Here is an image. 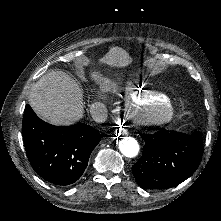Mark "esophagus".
I'll return each mask as SVG.
<instances>
[{
	"label": "esophagus",
	"instance_id": "esophagus-1",
	"mask_svg": "<svg viewBox=\"0 0 221 221\" xmlns=\"http://www.w3.org/2000/svg\"><path fill=\"white\" fill-rule=\"evenodd\" d=\"M119 132L121 135H127L128 133L127 129L123 126L119 127Z\"/></svg>",
	"mask_w": 221,
	"mask_h": 221
}]
</instances>
